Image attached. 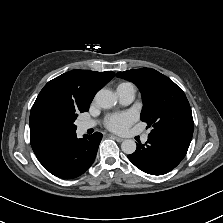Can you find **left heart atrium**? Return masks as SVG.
Masks as SVG:
<instances>
[{
	"label": "left heart atrium",
	"mask_w": 223,
	"mask_h": 223,
	"mask_svg": "<svg viewBox=\"0 0 223 223\" xmlns=\"http://www.w3.org/2000/svg\"><path fill=\"white\" fill-rule=\"evenodd\" d=\"M136 114L128 111L123 113L111 114L106 118V126L114 132H121L126 130L135 120Z\"/></svg>",
	"instance_id": "39dd6f15"
}]
</instances>
